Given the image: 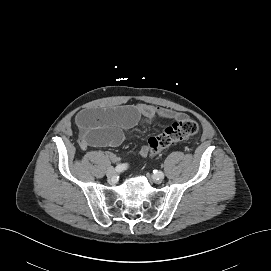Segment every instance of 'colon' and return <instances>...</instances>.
I'll return each mask as SVG.
<instances>
[{
  "label": "colon",
  "instance_id": "5ec220e1",
  "mask_svg": "<svg viewBox=\"0 0 271 271\" xmlns=\"http://www.w3.org/2000/svg\"><path fill=\"white\" fill-rule=\"evenodd\" d=\"M198 131L197 122L185 117L167 127L161 134L148 140L149 155L154 156L170 145L183 141Z\"/></svg>",
  "mask_w": 271,
  "mask_h": 271
}]
</instances>
